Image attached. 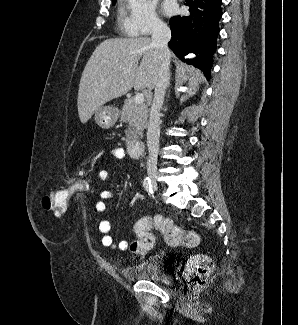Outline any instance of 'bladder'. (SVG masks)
Wrapping results in <instances>:
<instances>
[{
	"mask_svg": "<svg viewBox=\"0 0 298 325\" xmlns=\"http://www.w3.org/2000/svg\"><path fill=\"white\" fill-rule=\"evenodd\" d=\"M122 276L128 281H149L168 284L169 278L164 273L158 256H150L121 269Z\"/></svg>",
	"mask_w": 298,
	"mask_h": 325,
	"instance_id": "obj_1",
	"label": "bladder"
}]
</instances>
